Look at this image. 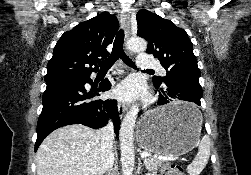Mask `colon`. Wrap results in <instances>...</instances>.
<instances>
[{"instance_id": "5ec220e1", "label": "colon", "mask_w": 251, "mask_h": 175, "mask_svg": "<svg viewBox=\"0 0 251 175\" xmlns=\"http://www.w3.org/2000/svg\"><path fill=\"white\" fill-rule=\"evenodd\" d=\"M163 175H184L183 167L180 164L169 163L162 168Z\"/></svg>"}]
</instances>
